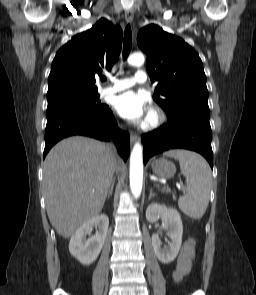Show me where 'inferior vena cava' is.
<instances>
[{
  "mask_svg": "<svg viewBox=\"0 0 256 295\" xmlns=\"http://www.w3.org/2000/svg\"><path fill=\"white\" fill-rule=\"evenodd\" d=\"M118 167H122L121 159H114L113 174H118Z\"/></svg>",
  "mask_w": 256,
  "mask_h": 295,
  "instance_id": "inferior-vena-cava-1",
  "label": "inferior vena cava"
}]
</instances>
